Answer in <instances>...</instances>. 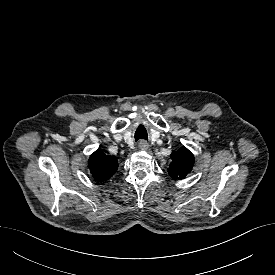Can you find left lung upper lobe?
I'll return each instance as SVG.
<instances>
[{"label":"left lung upper lobe","mask_w":275,"mask_h":275,"mask_svg":"<svg viewBox=\"0 0 275 275\" xmlns=\"http://www.w3.org/2000/svg\"><path fill=\"white\" fill-rule=\"evenodd\" d=\"M172 162L168 173L174 179H183L192 170L194 163L193 154L184 146L170 155Z\"/></svg>","instance_id":"left-lung-upper-lobe-1"}]
</instances>
